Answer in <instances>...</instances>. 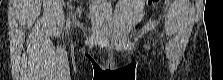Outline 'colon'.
<instances>
[{"instance_id": "1", "label": "colon", "mask_w": 223, "mask_h": 80, "mask_svg": "<svg viewBox=\"0 0 223 80\" xmlns=\"http://www.w3.org/2000/svg\"><path fill=\"white\" fill-rule=\"evenodd\" d=\"M156 1H158V0H147L146 3H147L148 5H151L152 3L156 2Z\"/></svg>"}]
</instances>
